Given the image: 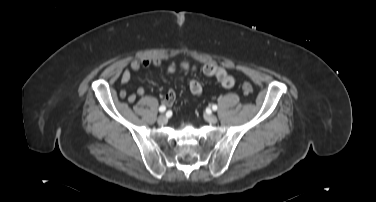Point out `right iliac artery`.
Masks as SVG:
<instances>
[{
    "mask_svg": "<svg viewBox=\"0 0 376 202\" xmlns=\"http://www.w3.org/2000/svg\"><path fill=\"white\" fill-rule=\"evenodd\" d=\"M165 110H166V107L164 105H162V106L159 107V111L160 112H165Z\"/></svg>",
    "mask_w": 376,
    "mask_h": 202,
    "instance_id": "right-iliac-artery-1",
    "label": "right iliac artery"
}]
</instances>
